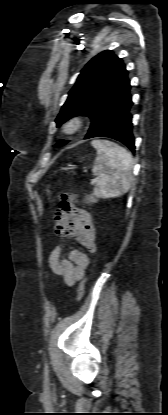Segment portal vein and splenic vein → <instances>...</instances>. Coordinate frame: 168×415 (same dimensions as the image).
<instances>
[{
    "instance_id": "portal-vein-and-splenic-vein-1",
    "label": "portal vein and splenic vein",
    "mask_w": 168,
    "mask_h": 415,
    "mask_svg": "<svg viewBox=\"0 0 168 415\" xmlns=\"http://www.w3.org/2000/svg\"><path fill=\"white\" fill-rule=\"evenodd\" d=\"M94 182H95V180L93 179V180H92V183H94Z\"/></svg>"
}]
</instances>
